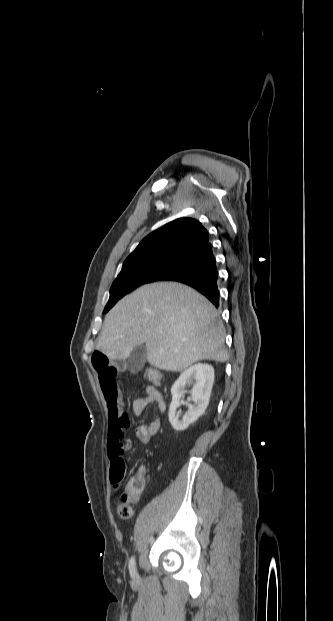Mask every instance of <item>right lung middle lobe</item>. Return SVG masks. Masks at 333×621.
<instances>
[{
    "label": "right lung middle lobe",
    "instance_id": "1",
    "mask_svg": "<svg viewBox=\"0 0 333 621\" xmlns=\"http://www.w3.org/2000/svg\"><path fill=\"white\" fill-rule=\"evenodd\" d=\"M183 261V258L166 257L124 263L121 272L110 289V298L104 313L108 312L119 299L138 286L163 280L166 275L177 269Z\"/></svg>",
    "mask_w": 333,
    "mask_h": 621
}]
</instances>
